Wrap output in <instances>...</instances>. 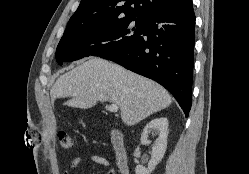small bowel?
Masks as SVG:
<instances>
[{
  "label": "small bowel",
  "instance_id": "obj_1",
  "mask_svg": "<svg viewBox=\"0 0 249 174\" xmlns=\"http://www.w3.org/2000/svg\"><path fill=\"white\" fill-rule=\"evenodd\" d=\"M83 158L81 156L75 157L73 160H71L69 164V168L65 170L64 174H70L71 171L75 170L78 168L80 163L82 162ZM90 162L105 166L109 168L108 174H114L113 169L110 167V163L108 159L101 155H92L89 157Z\"/></svg>",
  "mask_w": 249,
  "mask_h": 174
}]
</instances>
